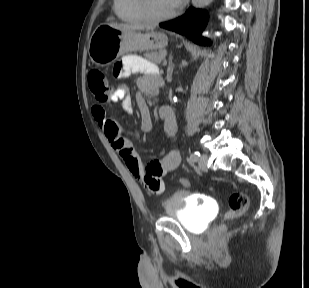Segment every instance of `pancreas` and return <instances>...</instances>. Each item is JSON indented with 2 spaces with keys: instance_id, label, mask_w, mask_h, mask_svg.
<instances>
[{
  "instance_id": "obj_1",
  "label": "pancreas",
  "mask_w": 309,
  "mask_h": 288,
  "mask_svg": "<svg viewBox=\"0 0 309 288\" xmlns=\"http://www.w3.org/2000/svg\"><path fill=\"white\" fill-rule=\"evenodd\" d=\"M164 55H165V52L160 50L158 52L145 54V58L152 63L160 64L162 59L164 58Z\"/></svg>"
}]
</instances>
